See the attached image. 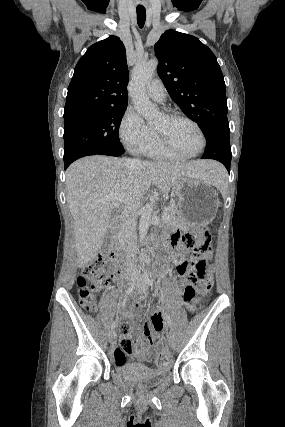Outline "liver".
<instances>
[{
    "label": "liver",
    "instance_id": "obj_1",
    "mask_svg": "<svg viewBox=\"0 0 285 427\" xmlns=\"http://www.w3.org/2000/svg\"><path fill=\"white\" fill-rule=\"evenodd\" d=\"M220 167L208 160L136 162L99 155L72 163L66 171V199L74 221L78 266L95 259L103 244L114 209V202L103 198L118 196L136 209L151 184L168 195L186 177L212 184Z\"/></svg>",
    "mask_w": 285,
    "mask_h": 427
}]
</instances>
